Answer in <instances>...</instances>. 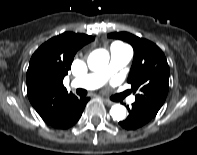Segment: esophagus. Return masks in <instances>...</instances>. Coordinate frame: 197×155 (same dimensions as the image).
Returning <instances> with one entry per match:
<instances>
[{"label":"esophagus","mask_w":197,"mask_h":155,"mask_svg":"<svg viewBox=\"0 0 197 155\" xmlns=\"http://www.w3.org/2000/svg\"><path fill=\"white\" fill-rule=\"evenodd\" d=\"M103 102H104L106 105H108V106H111V105L114 104L112 101L107 100V99H103Z\"/></svg>","instance_id":"obj_1"}]
</instances>
